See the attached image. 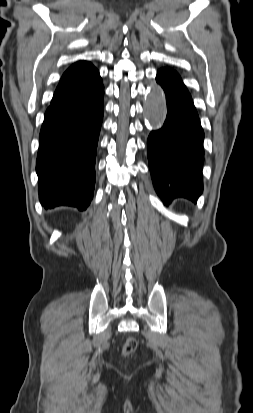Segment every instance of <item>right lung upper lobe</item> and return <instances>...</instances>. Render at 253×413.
Masks as SVG:
<instances>
[{
  "label": "right lung upper lobe",
  "instance_id": "right-lung-upper-lobe-1",
  "mask_svg": "<svg viewBox=\"0 0 253 413\" xmlns=\"http://www.w3.org/2000/svg\"><path fill=\"white\" fill-rule=\"evenodd\" d=\"M102 82L98 70L87 61H78L62 75L51 105H58L78 98Z\"/></svg>",
  "mask_w": 253,
  "mask_h": 413
}]
</instances>
